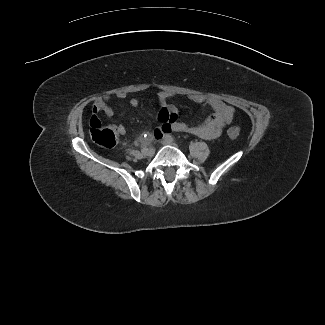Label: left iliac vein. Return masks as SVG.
<instances>
[{
  "mask_svg": "<svg viewBox=\"0 0 325 325\" xmlns=\"http://www.w3.org/2000/svg\"><path fill=\"white\" fill-rule=\"evenodd\" d=\"M162 143H163L164 145H171V146H175V147L178 146L174 141L169 140V139H167V138H164V139L162 140Z\"/></svg>",
  "mask_w": 325,
  "mask_h": 325,
  "instance_id": "4c4485c4",
  "label": "left iliac vein"
}]
</instances>
